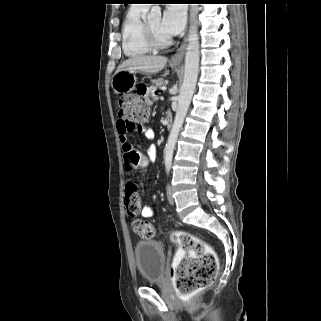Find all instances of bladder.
Listing matches in <instances>:
<instances>
[{"mask_svg":"<svg viewBox=\"0 0 321 321\" xmlns=\"http://www.w3.org/2000/svg\"><path fill=\"white\" fill-rule=\"evenodd\" d=\"M137 270L145 283H159L165 273V252L155 240H142L134 246Z\"/></svg>","mask_w":321,"mask_h":321,"instance_id":"1","label":"bladder"}]
</instances>
